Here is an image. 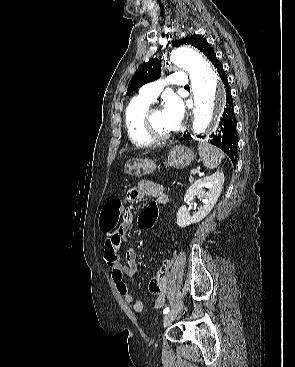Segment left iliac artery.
Wrapping results in <instances>:
<instances>
[{"label":"left iliac artery","mask_w":295,"mask_h":367,"mask_svg":"<svg viewBox=\"0 0 295 367\" xmlns=\"http://www.w3.org/2000/svg\"><path fill=\"white\" fill-rule=\"evenodd\" d=\"M169 312V307H166L164 310H163V313L164 314H167Z\"/></svg>","instance_id":"obj_1"}]
</instances>
